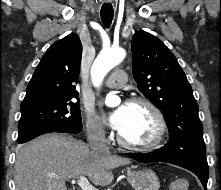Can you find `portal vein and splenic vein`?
Returning a JSON list of instances; mask_svg holds the SVG:
<instances>
[{"label": "portal vein and splenic vein", "instance_id": "portal-vein-and-splenic-vein-1", "mask_svg": "<svg viewBox=\"0 0 221 190\" xmlns=\"http://www.w3.org/2000/svg\"><path fill=\"white\" fill-rule=\"evenodd\" d=\"M77 184L82 190H98L89 183L85 176H80V178L77 180Z\"/></svg>", "mask_w": 221, "mask_h": 190}]
</instances>
